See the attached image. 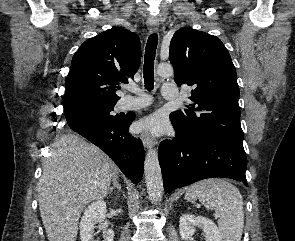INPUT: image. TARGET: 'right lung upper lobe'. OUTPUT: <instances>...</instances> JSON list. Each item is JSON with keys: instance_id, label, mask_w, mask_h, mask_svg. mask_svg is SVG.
Wrapping results in <instances>:
<instances>
[{"instance_id": "cb5924a9", "label": "right lung upper lobe", "mask_w": 295, "mask_h": 241, "mask_svg": "<svg viewBox=\"0 0 295 241\" xmlns=\"http://www.w3.org/2000/svg\"><path fill=\"white\" fill-rule=\"evenodd\" d=\"M141 60L138 36L122 27L108 29L86 40L74 54L65 81L64 113L116 104L120 83L134 77Z\"/></svg>"}]
</instances>
